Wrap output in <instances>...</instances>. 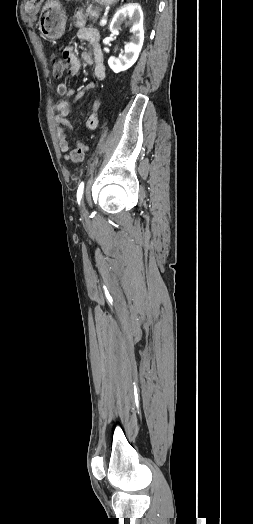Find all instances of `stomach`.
I'll return each instance as SVG.
<instances>
[{
    "label": "stomach",
    "instance_id": "1",
    "mask_svg": "<svg viewBox=\"0 0 253 524\" xmlns=\"http://www.w3.org/2000/svg\"><path fill=\"white\" fill-rule=\"evenodd\" d=\"M103 6L113 5L118 0H94ZM66 13L58 1H48L39 17V31L43 37L49 40L59 39L65 31Z\"/></svg>",
    "mask_w": 253,
    "mask_h": 524
}]
</instances>
